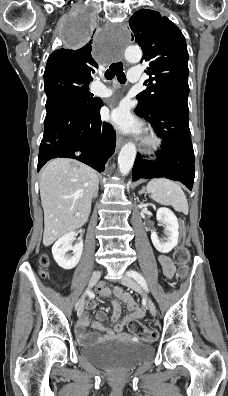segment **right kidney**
Returning <instances> with one entry per match:
<instances>
[{"mask_svg": "<svg viewBox=\"0 0 228 396\" xmlns=\"http://www.w3.org/2000/svg\"><path fill=\"white\" fill-rule=\"evenodd\" d=\"M82 234V230L78 231ZM76 232H70L59 238L52 247V254L57 264L66 270L73 269L79 262L83 251L82 236L79 242L72 245L75 240ZM72 250V255L68 252Z\"/></svg>", "mask_w": 228, "mask_h": 396, "instance_id": "ca27d5eb", "label": "right kidney"}]
</instances>
